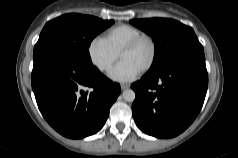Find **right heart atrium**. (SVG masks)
I'll list each match as a JSON object with an SVG mask.
<instances>
[{"instance_id":"d8ad5b80","label":"right heart atrium","mask_w":238,"mask_h":158,"mask_svg":"<svg viewBox=\"0 0 238 158\" xmlns=\"http://www.w3.org/2000/svg\"><path fill=\"white\" fill-rule=\"evenodd\" d=\"M87 52L92 64L101 72L109 71L118 59V53L99 36L89 42Z\"/></svg>"}]
</instances>
